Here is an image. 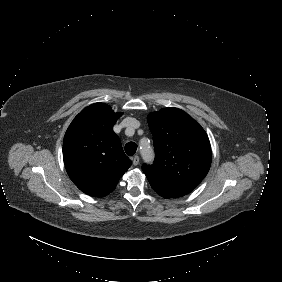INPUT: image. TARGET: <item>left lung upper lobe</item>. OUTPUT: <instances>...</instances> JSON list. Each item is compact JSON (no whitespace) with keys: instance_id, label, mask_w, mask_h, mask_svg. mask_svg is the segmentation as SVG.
Segmentation results:
<instances>
[{"instance_id":"5c2ea615","label":"left lung upper lobe","mask_w":282,"mask_h":282,"mask_svg":"<svg viewBox=\"0 0 282 282\" xmlns=\"http://www.w3.org/2000/svg\"><path fill=\"white\" fill-rule=\"evenodd\" d=\"M153 135L155 160L143 165L145 175L159 185L194 189L211 165V146L206 132L186 112L164 108L147 117Z\"/></svg>"}]
</instances>
